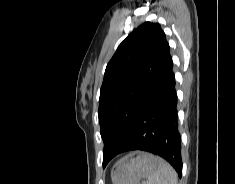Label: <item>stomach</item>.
Listing matches in <instances>:
<instances>
[{
    "label": "stomach",
    "mask_w": 235,
    "mask_h": 184,
    "mask_svg": "<svg viewBox=\"0 0 235 184\" xmlns=\"http://www.w3.org/2000/svg\"><path fill=\"white\" fill-rule=\"evenodd\" d=\"M157 166V156L148 152H131L113 166L111 180L113 184H139V180L150 176Z\"/></svg>",
    "instance_id": "stomach-1"
}]
</instances>
